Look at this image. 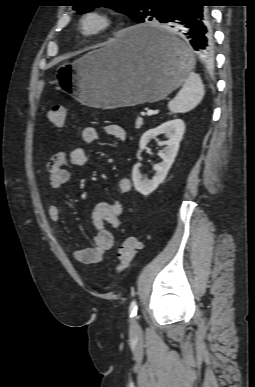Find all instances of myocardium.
<instances>
[{
	"instance_id": "obj_1",
	"label": "myocardium",
	"mask_w": 255,
	"mask_h": 387,
	"mask_svg": "<svg viewBox=\"0 0 255 387\" xmlns=\"http://www.w3.org/2000/svg\"><path fill=\"white\" fill-rule=\"evenodd\" d=\"M114 24L112 15L99 9L83 12L78 21L80 34L86 38H93L108 31Z\"/></svg>"
}]
</instances>
